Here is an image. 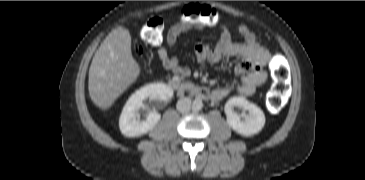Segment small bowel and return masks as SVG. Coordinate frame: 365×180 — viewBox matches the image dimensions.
Masks as SVG:
<instances>
[{
  "mask_svg": "<svg viewBox=\"0 0 365 180\" xmlns=\"http://www.w3.org/2000/svg\"><path fill=\"white\" fill-rule=\"evenodd\" d=\"M202 26L196 24L192 27L186 23H175L170 26L166 33L165 44L157 47V55L164 68L183 78L190 76L191 70L172 56L170 49L175 46L180 35L192 28L201 29ZM220 29L219 40L214 44H198L193 51L194 57L198 62L235 59L233 71L240 79L236 91L242 96H251L268 78L266 65L270 61V53L257 41L255 34L247 25H241L238 28L243 38L242 43L232 42L226 25H221ZM229 92V88L219 87L213 91L212 98L215 101L222 100Z\"/></svg>",
  "mask_w": 365,
  "mask_h": 180,
  "instance_id": "c3829d8e",
  "label": "small bowel"
}]
</instances>
